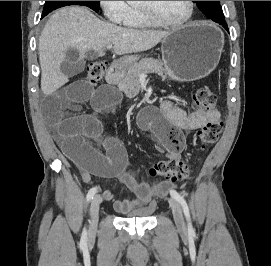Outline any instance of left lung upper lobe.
Instances as JSON below:
<instances>
[{
	"label": "left lung upper lobe",
	"instance_id": "obj_1",
	"mask_svg": "<svg viewBox=\"0 0 271 266\" xmlns=\"http://www.w3.org/2000/svg\"><path fill=\"white\" fill-rule=\"evenodd\" d=\"M200 11L216 23H224L225 18L219 1H195Z\"/></svg>",
	"mask_w": 271,
	"mask_h": 266
}]
</instances>
